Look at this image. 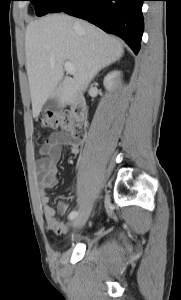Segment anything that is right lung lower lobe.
Segmentation results:
<instances>
[{"label":"right lung lower lobe","mask_w":181,"mask_h":300,"mask_svg":"<svg viewBox=\"0 0 181 300\" xmlns=\"http://www.w3.org/2000/svg\"><path fill=\"white\" fill-rule=\"evenodd\" d=\"M145 0H63L54 12L85 19L124 39L135 54L140 49Z\"/></svg>","instance_id":"obj_1"}]
</instances>
